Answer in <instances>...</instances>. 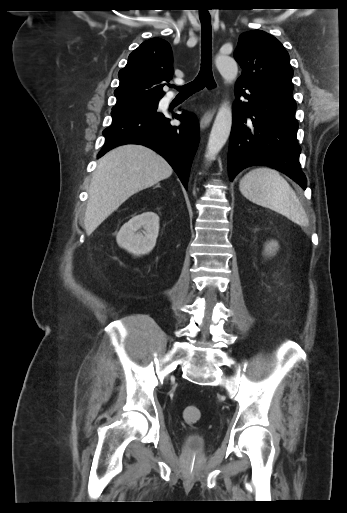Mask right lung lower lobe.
Returning a JSON list of instances; mask_svg holds the SVG:
<instances>
[{
	"instance_id": "right-lung-lower-lobe-1",
	"label": "right lung lower lobe",
	"mask_w": 347,
	"mask_h": 513,
	"mask_svg": "<svg viewBox=\"0 0 347 513\" xmlns=\"http://www.w3.org/2000/svg\"><path fill=\"white\" fill-rule=\"evenodd\" d=\"M173 117L182 124L171 126L170 119L157 111L112 117V125L103 131L106 142L98 158L123 144L147 146L167 160L187 188L191 164L199 144V126L191 113L183 112Z\"/></svg>"
}]
</instances>
